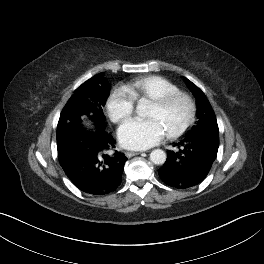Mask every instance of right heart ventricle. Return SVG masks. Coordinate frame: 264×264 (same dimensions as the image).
<instances>
[{
  "label": "right heart ventricle",
  "instance_id": "1",
  "mask_svg": "<svg viewBox=\"0 0 264 264\" xmlns=\"http://www.w3.org/2000/svg\"><path fill=\"white\" fill-rule=\"evenodd\" d=\"M126 89L135 101H153L170 93L179 91L175 83L159 75L136 78L126 86Z\"/></svg>",
  "mask_w": 264,
  "mask_h": 264
}]
</instances>
